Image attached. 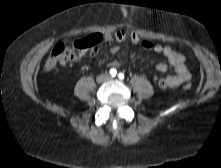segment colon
<instances>
[{"mask_svg":"<svg viewBox=\"0 0 221 168\" xmlns=\"http://www.w3.org/2000/svg\"><path fill=\"white\" fill-rule=\"evenodd\" d=\"M129 38L134 45L141 43L142 38L139 32H130L125 28H118L114 31L99 34H93L88 38L75 41L72 46L68 47L62 43L57 44L51 51L45 62V69L52 70L58 65H64L70 61L81 58L88 49H94L100 42L110 46L115 43L125 42ZM191 88L190 84L184 86L185 90Z\"/></svg>","mask_w":221,"mask_h":168,"instance_id":"5ec220e1","label":"colon"}]
</instances>
